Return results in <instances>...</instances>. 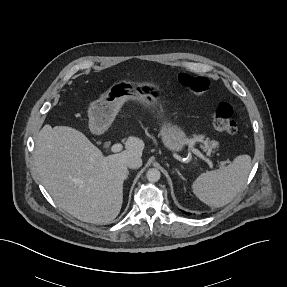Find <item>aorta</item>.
Listing matches in <instances>:
<instances>
[{"mask_svg": "<svg viewBox=\"0 0 287 287\" xmlns=\"http://www.w3.org/2000/svg\"><path fill=\"white\" fill-rule=\"evenodd\" d=\"M146 176H147L148 181L157 182L160 179L161 174H160V171L158 169L150 168L147 171Z\"/></svg>", "mask_w": 287, "mask_h": 287, "instance_id": "1", "label": "aorta"}]
</instances>
